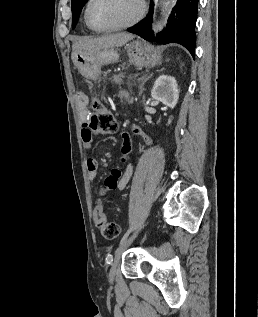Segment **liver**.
I'll use <instances>...</instances> for the list:
<instances>
[{
	"instance_id": "6515ba94",
	"label": "liver",
	"mask_w": 258,
	"mask_h": 317,
	"mask_svg": "<svg viewBox=\"0 0 258 317\" xmlns=\"http://www.w3.org/2000/svg\"><path fill=\"white\" fill-rule=\"evenodd\" d=\"M135 38V34L129 32H115V34H101L97 38L89 36H79L72 44L73 50H102V48H113V46H123L128 40Z\"/></svg>"
}]
</instances>
